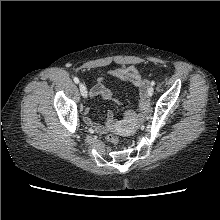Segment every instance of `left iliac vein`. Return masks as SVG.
I'll return each instance as SVG.
<instances>
[{
  "instance_id": "obj_1",
  "label": "left iliac vein",
  "mask_w": 220,
  "mask_h": 220,
  "mask_svg": "<svg viewBox=\"0 0 220 220\" xmlns=\"http://www.w3.org/2000/svg\"><path fill=\"white\" fill-rule=\"evenodd\" d=\"M153 93H154V88L152 86H150L148 88V96L151 97L153 95Z\"/></svg>"
}]
</instances>
